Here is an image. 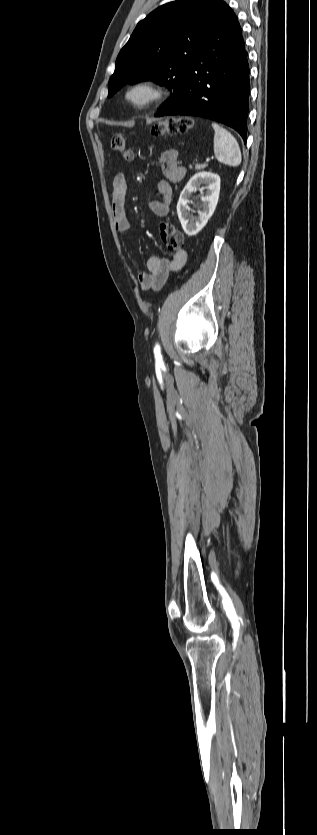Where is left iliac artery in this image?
I'll return each instance as SVG.
<instances>
[{
    "instance_id": "1",
    "label": "left iliac artery",
    "mask_w": 317,
    "mask_h": 835,
    "mask_svg": "<svg viewBox=\"0 0 317 835\" xmlns=\"http://www.w3.org/2000/svg\"><path fill=\"white\" fill-rule=\"evenodd\" d=\"M154 354H155L156 361H162L161 350H160V346L158 344L154 348Z\"/></svg>"
}]
</instances>
